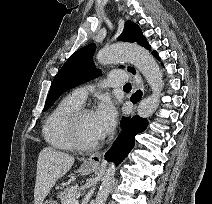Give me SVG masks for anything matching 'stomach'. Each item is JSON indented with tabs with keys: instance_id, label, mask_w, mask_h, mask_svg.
Masks as SVG:
<instances>
[{
	"instance_id": "obj_1",
	"label": "stomach",
	"mask_w": 212,
	"mask_h": 204,
	"mask_svg": "<svg viewBox=\"0 0 212 204\" xmlns=\"http://www.w3.org/2000/svg\"><path fill=\"white\" fill-rule=\"evenodd\" d=\"M93 170H94L93 166L82 165L80 167V171L83 174H89V173L93 172ZM43 204H58V203L54 200H46Z\"/></svg>"
}]
</instances>
